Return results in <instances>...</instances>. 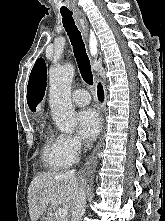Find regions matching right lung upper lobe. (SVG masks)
I'll list each match as a JSON object with an SVG mask.
<instances>
[{
  "instance_id": "cb5924a9",
  "label": "right lung upper lobe",
  "mask_w": 165,
  "mask_h": 221,
  "mask_svg": "<svg viewBox=\"0 0 165 221\" xmlns=\"http://www.w3.org/2000/svg\"><path fill=\"white\" fill-rule=\"evenodd\" d=\"M46 78L45 62L42 58H39L31 71L27 87V103L31 111H36V106L44 96Z\"/></svg>"
}]
</instances>
